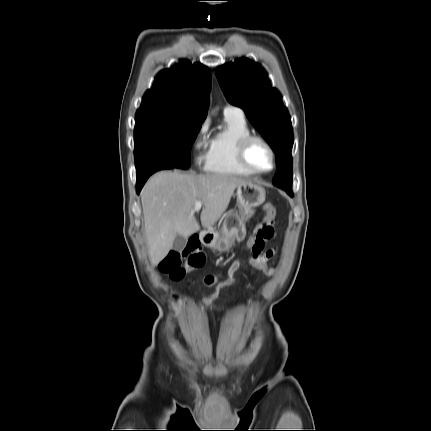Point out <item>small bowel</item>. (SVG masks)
<instances>
[{
	"instance_id": "1",
	"label": "small bowel",
	"mask_w": 431,
	"mask_h": 431,
	"mask_svg": "<svg viewBox=\"0 0 431 431\" xmlns=\"http://www.w3.org/2000/svg\"><path fill=\"white\" fill-rule=\"evenodd\" d=\"M274 235L275 229L273 223L270 225L269 232L266 235L260 237H257L255 235V246L254 249L251 251V257L247 261L251 266L262 271L266 275H272L274 273L273 269L268 266L267 262L274 257L275 250L272 248H265V243L270 240ZM243 264L244 261L242 260H236L235 262H233V264L228 270L227 277L224 279H220L218 273H212L204 279L203 283L205 286H214V291L206 295L202 300V304L206 308H213V302L217 299L220 291L223 288L236 284L237 280L235 279L234 275Z\"/></svg>"
}]
</instances>
